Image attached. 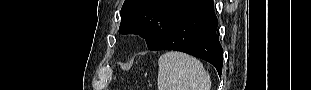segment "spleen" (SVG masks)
Returning <instances> with one entry per match:
<instances>
[{"instance_id": "3e777b00", "label": "spleen", "mask_w": 311, "mask_h": 90, "mask_svg": "<svg viewBox=\"0 0 311 90\" xmlns=\"http://www.w3.org/2000/svg\"><path fill=\"white\" fill-rule=\"evenodd\" d=\"M158 90H210L211 80L202 63L181 52H167L158 61Z\"/></svg>"}]
</instances>
